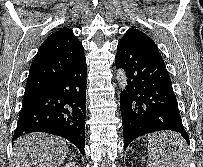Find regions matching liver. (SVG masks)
Returning a JSON list of instances; mask_svg holds the SVG:
<instances>
[{
  "label": "liver",
  "instance_id": "6515ba94",
  "mask_svg": "<svg viewBox=\"0 0 203 167\" xmlns=\"http://www.w3.org/2000/svg\"><path fill=\"white\" fill-rule=\"evenodd\" d=\"M166 133L154 134L160 139ZM68 154L66 143L57 137L36 132L19 138L13 148L14 167H59Z\"/></svg>",
  "mask_w": 203,
  "mask_h": 167
}]
</instances>
